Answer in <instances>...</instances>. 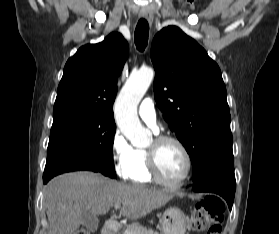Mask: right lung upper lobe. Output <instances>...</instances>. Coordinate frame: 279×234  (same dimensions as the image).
Here are the masks:
<instances>
[{
  "label": "right lung upper lobe",
  "mask_w": 279,
  "mask_h": 234,
  "mask_svg": "<svg viewBox=\"0 0 279 234\" xmlns=\"http://www.w3.org/2000/svg\"><path fill=\"white\" fill-rule=\"evenodd\" d=\"M128 55V43L120 33L82 46L64 67L54 113L83 111L113 118L117 79Z\"/></svg>",
  "instance_id": "obj_1"
}]
</instances>
